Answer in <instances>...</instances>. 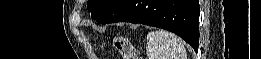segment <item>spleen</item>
I'll return each mask as SVG.
<instances>
[{"instance_id": "spleen-1", "label": "spleen", "mask_w": 261, "mask_h": 59, "mask_svg": "<svg viewBox=\"0 0 261 59\" xmlns=\"http://www.w3.org/2000/svg\"><path fill=\"white\" fill-rule=\"evenodd\" d=\"M149 59H186L187 52L182 40L163 30L151 31L146 37Z\"/></svg>"}]
</instances>
